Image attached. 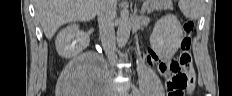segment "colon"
<instances>
[{
  "instance_id": "1",
  "label": "colon",
  "mask_w": 232,
  "mask_h": 96,
  "mask_svg": "<svg viewBox=\"0 0 232 96\" xmlns=\"http://www.w3.org/2000/svg\"><path fill=\"white\" fill-rule=\"evenodd\" d=\"M193 22H184V37L181 41L180 53L176 59L163 63H171V68H163V75L166 77V88L168 96H183L186 88H190V79L185 73V69L191 65V32ZM193 80V79H192Z\"/></svg>"
}]
</instances>
